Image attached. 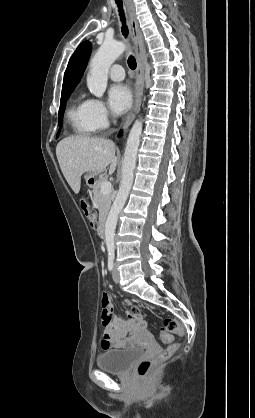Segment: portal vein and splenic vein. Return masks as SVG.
<instances>
[{
  "label": "portal vein and splenic vein",
  "mask_w": 255,
  "mask_h": 418,
  "mask_svg": "<svg viewBox=\"0 0 255 418\" xmlns=\"http://www.w3.org/2000/svg\"><path fill=\"white\" fill-rule=\"evenodd\" d=\"M112 185L109 181H106L102 184L101 186V193L102 194H107L111 191Z\"/></svg>",
  "instance_id": "18ae733b"
}]
</instances>
